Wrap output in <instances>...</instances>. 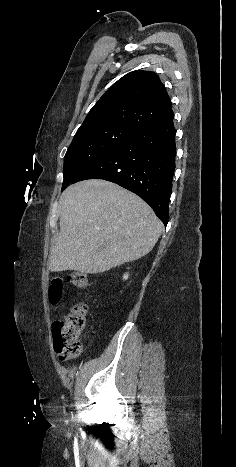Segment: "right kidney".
Wrapping results in <instances>:
<instances>
[{
  "mask_svg": "<svg viewBox=\"0 0 236 467\" xmlns=\"http://www.w3.org/2000/svg\"><path fill=\"white\" fill-rule=\"evenodd\" d=\"M123 279H125V280L128 279V274H125V275L123 276Z\"/></svg>",
  "mask_w": 236,
  "mask_h": 467,
  "instance_id": "ca27d5eb",
  "label": "right kidney"
}]
</instances>
